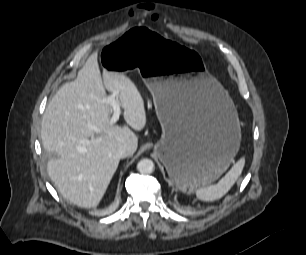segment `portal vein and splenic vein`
<instances>
[{"mask_svg": "<svg viewBox=\"0 0 306 255\" xmlns=\"http://www.w3.org/2000/svg\"><path fill=\"white\" fill-rule=\"evenodd\" d=\"M107 102L112 106V108L114 110V113H113V115L110 119V124L113 125L118 121V119H119V117L122 113L121 107H120L118 101L115 99V94L108 96L107 97ZM94 130H97V129L94 128Z\"/></svg>", "mask_w": 306, "mask_h": 255, "instance_id": "18ae733b", "label": "portal vein and splenic vein"}]
</instances>
